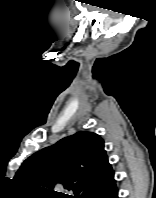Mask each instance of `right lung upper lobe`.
Instances as JSON below:
<instances>
[{"mask_svg":"<svg viewBox=\"0 0 156 198\" xmlns=\"http://www.w3.org/2000/svg\"><path fill=\"white\" fill-rule=\"evenodd\" d=\"M14 179L31 190L56 197H63L52 190L57 182L80 194L79 198H102L116 186L103 139L86 131L63 138L31 155Z\"/></svg>","mask_w":156,"mask_h":198,"instance_id":"obj_1","label":"right lung upper lobe"}]
</instances>
